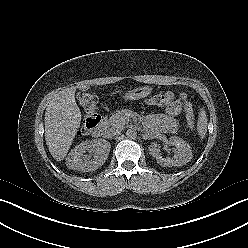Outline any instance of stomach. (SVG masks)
<instances>
[{
  "label": "stomach",
  "instance_id": "obj_1",
  "mask_svg": "<svg viewBox=\"0 0 248 248\" xmlns=\"http://www.w3.org/2000/svg\"><path fill=\"white\" fill-rule=\"evenodd\" d=\"M152 92V88L149 86L135 88L131 91H128L124 95L125 100H139L147 97Z\"/></svg>",
  "mask_w": 248,
  "mask_h": 248
}]
</instances>
